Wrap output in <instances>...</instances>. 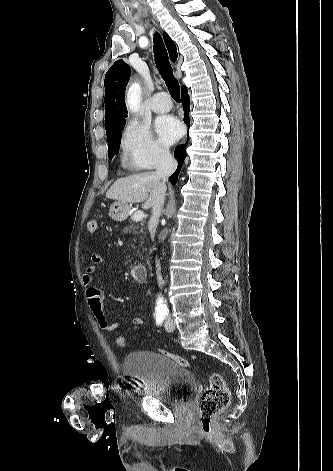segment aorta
Returning <instances> with one entry per match:
<instances>
[{
	"mask_svg": "<svg viewBox=\"0 0 333 471\" xmlns=\"http://www.w3.org/2000/svg\"><path fill=\"white\" fill-rule=\"evenodd\" d=\"M140 86L137 83H134L130 86L127 93V105L132 112H136L140 103ZM158 306L163 307V299H158Z\"/></svg>",
	"mask_w": 333,
	"mask_h": 471,
	"instance_id": "obj_1",
	"label": "aorta"
}]
</instances>
